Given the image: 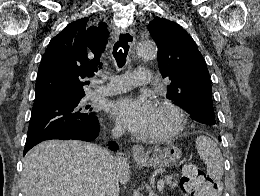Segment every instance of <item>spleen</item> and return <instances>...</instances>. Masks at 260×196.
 Instances as JSON below:
<instances>
[{"label": "spleen", "instance_id": "obj_1", "mask_svg": "<svg viewBox=\"0 0 260 196\" xmlns=\"http://www.w3.org/2000/svg\"><path fill=\"white\" fill-rule=\"evenodd\" d=\"M196 150L207 166V176L212 180H222L224 174L222 154L214 140L207 136L196 138Z\"/></svg>", "mask_w": 260, "mask_h": 196}]
</instances>
